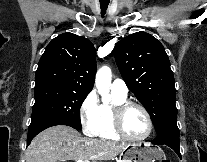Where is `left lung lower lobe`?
<instances>
[{
	"mask_svg": "<svg viewBox=\"0 0 207 162\" xmlns=\"http://www.w3.org/2000/svg\"><path fill=\"white\" fill-rule=\"evenodd\" d=\"M152 142L158 145L169 146L181 158L179 149V129L177 125L168 126L158 132L157 137Z\"/></svg>",
	"mask_w": 207,
	"mask_h": 162,
	"instance_id": "left-lung-lower-lobe-1",
	"label": "left lung lower lobe"
}]
</instances>
